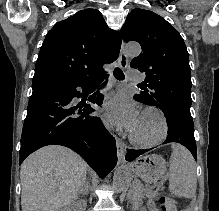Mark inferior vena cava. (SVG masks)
Segmentation results:
<instances>
[{"label": "inferior vena cava", "mask_w": 219, "mask_h": 211, "mask_svg": "<svg viewBox=\"0 0 219 211\" xmlns=\"http://www.w3.org/2000/svg\"><path fill=\"white\" fill-rule=\"evenodd\" d=\"M94 173L95 174H87L86 175V178L88 179L89 183H96L97 182V179L99 178V175H98L99 172L96 170ZM85 186L88 188L90 185L87 183ZM82 191L85 193L87 190L84 188Z\"/></svg>", "instance_id": "602c4592"}]
</instances>
